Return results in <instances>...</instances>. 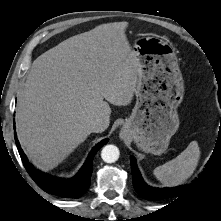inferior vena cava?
Returning <instances> with one entry per match:
<instances>
[{"label":"inferior vena cava","instance_id":"602c4592","mask_svg":"<svg viewBox=\"0 0 221 221\" xmlns=\"http://www.w3.org/2000/svg\"><path fill=\"white\" fill-rule=\"evenodd\" d=\"M108 125V120L97 118L91 122V130L92 132L96 133L103 132L105 129H107Z\"/></svg>","mask_w":221,"mask_h":221}]
</instances>
